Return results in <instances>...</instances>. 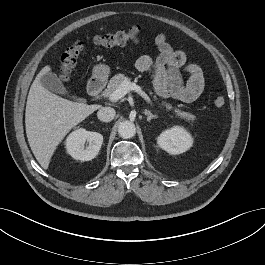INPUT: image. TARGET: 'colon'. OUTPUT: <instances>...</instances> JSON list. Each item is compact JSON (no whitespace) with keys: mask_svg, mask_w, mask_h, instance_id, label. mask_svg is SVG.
I'll return each mask as SVG.
<instances>
[{"mask_svg":"<svg viewBox=\"0 0 265 265\" xmlns=\"http://www.w3.org/2000/svg\"><path fill=\"white\" fill-rule=\"evenodd\" d=\"M141 30L133 26L126 31L106 32L75 42L62 54L61 68L65 74H69L75 67L82 50L89 45L100 47L124 46L129 42L136 41ZM212 103L215 107H222L225 103L224 92L217 88L212 94Z\"/></svg>","mask_w":265,"mask_h":265,"instance_id":"colon-1","label":"colon"}]
</instances>
